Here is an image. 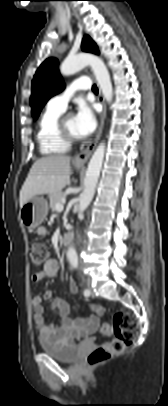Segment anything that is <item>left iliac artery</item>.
I'll return each mask as SVG.
<instances>
[{
  "label": "left iliac artery",
  "mask_w": 168,
  "mask_h": 406,
  "mask_svg": "<svg viewBox=\"0 0 168 406\" xmlns=\"http://www.w3.org/2000/svg\"><path fill=\"white\" fill-rule=\"evenodd\" d=\"M84 295H85V296H89V295H90V290L85 289V290H84Z\"/></svg>",
  "instance_id": "44dca946"
}]
</instances>
